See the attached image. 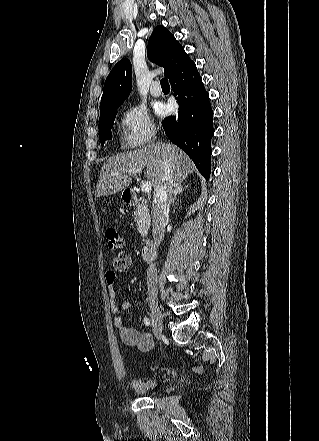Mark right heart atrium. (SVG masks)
<instances>
[{
	"instance_id": "right-heart-atrium-1",
	"label": "right heart atrium",
	"mask_w": 319,
	"mask_h": 441,
	"mask_svg": "<svg viewBox=\"0 0 319 441\" xmlns=\"http://www.w3.org/2000/svg\"><path fill=\"white\" fill-rule=\"evenodd\" d=\"M121 138L124 147L137 149L146 145L154 136L156 127L142 105H132L120 116Z\"/></svg>"
}]
</instances>
